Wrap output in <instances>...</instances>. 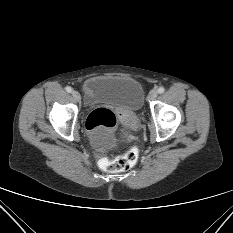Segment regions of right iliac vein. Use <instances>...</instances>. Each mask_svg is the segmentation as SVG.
I'll list each match as a JSON object with an SVG mask.
<instances>
[{"instance_id": "right-iliac-vein-1", "label": "right iliac vein", "mask_w": 233, "mask_h": 233, "mask_svg": "<svg viewBox=\"0 0 233 233\" xmlns=\"http://www.w3.org/2000/svg\"><path fill=\"white\" fill-rule=\"evenodd\" d=\"M72 95L75 98V100H77L78 102L80 101L81 97L78 91L76 90L72 91Z\"/></svg>"}]
</instances>
